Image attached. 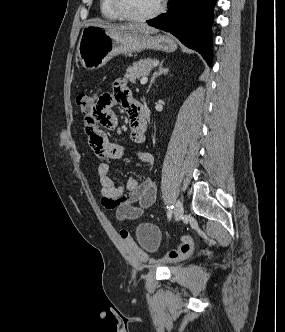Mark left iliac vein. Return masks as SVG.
Instances as JSON below:
<instances>
[{
    "mask_svg": "<svg viewBox=\"0 0 285 332\" xmlns=\"http://www.w3.org/2000/svg\"><path fill=\"white\" fill-rule=\"evenodd\" d=\"M174 215L177 221L181 220L184 215L183 204L180 200H177L175 203Z\"/></svg>",
    "mask_w": 285,
    "mask_h": 332,
    "instance_id": "1",
    "label": "left iliac vein"
}]
</instances>
